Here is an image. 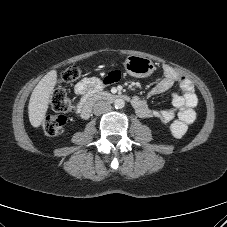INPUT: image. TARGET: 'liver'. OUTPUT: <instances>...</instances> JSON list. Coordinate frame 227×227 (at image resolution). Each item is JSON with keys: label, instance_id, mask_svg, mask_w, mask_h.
I'll return each mask as SVG.
<instances>
[{"label": "liver", "instance_id": "6515ba94", "mask_svg": "<svg viewBox=\"0 0 227 227\" xmlns=\"http://www.w3.org/2000/svg\"><path fill=\"white\" fill-rule=\"evenodd\" d=\"M57 83V71L48 72L34 88L28 105L29 121L31 125L38 128L47 113L50 96Z\"/></svg>", "mask_w": 227, "mask_h": 227}]
</instances>
